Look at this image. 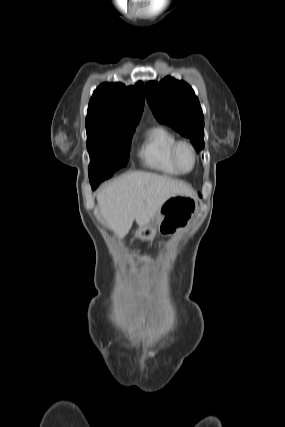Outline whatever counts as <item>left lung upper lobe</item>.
I'll list each match as a JSON object with an SVG mask.
<instances>
[{
    "mask_svg": "<svg viewBox=\"0 0 285 427\" xmlns=\"http://www.w3.org/2000/svg\"><path fill=\"white\" fill-rule=\"evenodd\" d=\"M149 106L160 123L190 139L196 151L204 148V116L193 89L171 77L145 86Z\"/></svg>",
    "mask_w": 285,
    "mask_h": 427,
    "instance_id": "left-lung-upper-lobe-1",
    "label": "left lung upper lobe"
}]
</instances>
